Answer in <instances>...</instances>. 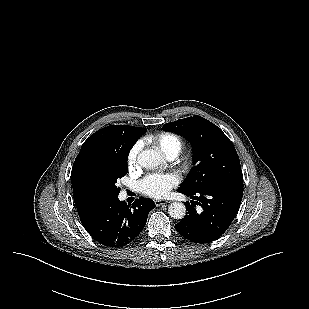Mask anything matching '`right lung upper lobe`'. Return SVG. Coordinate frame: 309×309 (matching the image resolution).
I'll list each match as a JSON object with an SVG mask.
<instances>
[{
    "instance_id": "1",
    "label": "right lung upper lobe",
    "mask_w": 309,
    "mask_h": 309,
    "mask_svg": "<svg viewBox=\"0 0 309 309\" xmlns=\"http://www.w3.org/2000/svg\"><path fill=\"white\" fill-rule=\"evenodd\" d=\"M146 131L147 129L141 127L112 125L98 130L85 141L71 172L74 201L78 213L103 200L94 179V165L97 158L117 144L128 145L131 149Z\"/></svg>"
}]
</instances>
